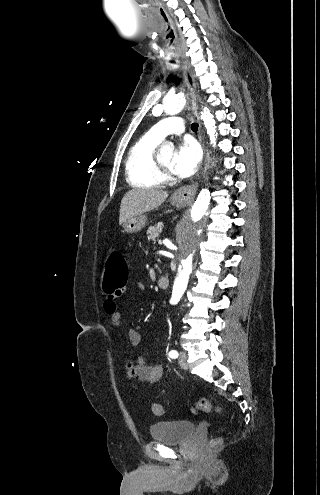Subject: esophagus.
Masks as SVG:
<instances>
[{
	"mask_svg": "<svg viewBox=\"0 0 320 495\" xmlns=\"http://www.w3.org/2000/svg\"><path fill=\"white\" fill-rule=\"evenodd\" d=\"M183 71H184V75H185V81L187 83V86H188V89H189V94H190V100H191V104H192V109H193V113L195 115V117L197 118L198 122H199V127L201 126V121H200V117H199V114H198V107H197V102H196V83H195V79L190 71V68H189V65L186 61L183 62ZM200 141L202 143V146H203V149H204V152H206V147H205V144L204 142L202 141V139L200 138ZM197 186H198V183L195 182V183H192L190 185H186V186H183V187H180L179 189L176 190L175 194H174V197L179 200V201H184V202H188V201H191L193 200L195 194H196V191H197Z\"/></svg>",
	"mask_w": 320,
	"mask_h": 495,
	"instance_id": "1",
	"label": "esophagus"
}]
</instances>
